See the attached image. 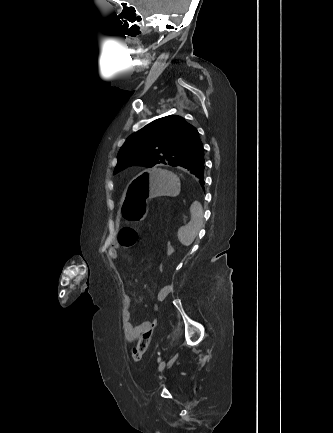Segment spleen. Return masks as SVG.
<instances>
[{"label":"spleen","mask_w":333,"mask_h":433,"mask_svg":"<svg viewBox=\"0 0 333 433\" xmlns=\"http://www.w3.org/2000/svg\"><path fill=\"white\" fill-rule=\"evenodd\" d=\"M191 215L190 222L178 230V239L185 246L193 243L203 223L202 207L198 202L192 204Z\"/></svg>","instance_id":"spleen-1"}]
</instances>
